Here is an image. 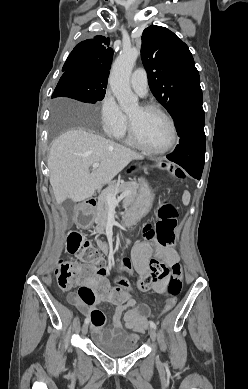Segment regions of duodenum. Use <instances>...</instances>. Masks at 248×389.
I'll list each match as a JSON object with an SVG mask.
<instances>
[{
  "label": "duodenum",
  "mask_w": 248,
  "mask_h": 389,
  "mask_svg": "<svg viewBox=\"0 0 248 389\" xmlns=\"http://www.w3.org/2000/svg\"><path fill=\"white\" fill-rule=\"evenodd\" d=\"M97 206V200L93 197L89 198L87 200V203L85 206H82L78 212H77V222L79 225L84 228L88 229L91 226V220H87L85 218V215L87 213H92L93 209Z\"/></svg>",
  "instance_id": "1"
}]
</instances>
